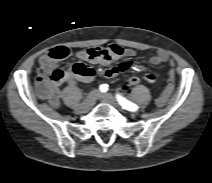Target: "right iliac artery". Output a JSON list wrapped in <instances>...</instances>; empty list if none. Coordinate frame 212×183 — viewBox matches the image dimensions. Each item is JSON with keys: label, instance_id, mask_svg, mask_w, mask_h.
<instances>
[{"label": "right iliac artery", "instance_id": "82829eb1", "mask_svg": "<svg viewBox=\"0 0 212 183\" xmlns=\"http://www.w3.org/2000/svg\"><path fill=\"white\" fill-rule=\"evenodd\" d=\"M107 90H108V85L107 84L100 85V91L101 92H106Z\"/></svg>", "mask_w": 212, "mask_h": 183}]
</instances>
